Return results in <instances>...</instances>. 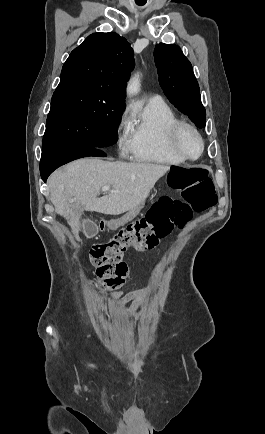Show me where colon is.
Wrapping results in <instances>:
<instances>
[{"label":"colon","instance_id":"1","mask_svg":"<svg viewBox=\"0 0 265 434\" xmlns=\"http://www.w3.org/2000/svg\"><path fill=\"white\" fill-rule=\"evenodd\" d=\"M169 170V188L182 194L177 198L161 197L144 216L118 230L110 239L97 242L90 250V262L100 271L92 285L102 293L122 286L128 268L122 260L129 250L156 246L174 230L183 229L194 213L212 209L218 202L207 164H174Z\"/></svg>","mask_w":265,"mask_h":434}]
</instances>
